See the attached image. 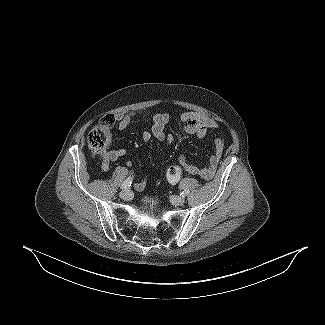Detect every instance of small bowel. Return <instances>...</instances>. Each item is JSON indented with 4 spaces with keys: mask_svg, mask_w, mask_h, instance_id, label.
<instances>
[{
    "mask_svg": "<svg viewBox=\"0 0 325 325\" xmlns=\"http://www.w3.org/2000/svg\"><path fill=\"white\" fill-rule=\"evenodd\" d=\"M149 118L152 121V125L149 130L143 133V140L148 141L152 137L166 144L167 147L171 146L174 142V136L165 132V126L169 121V116L165 113H152L149 110L139 109L132 110L126 113L117 114L114 116L116 121V127L118 130L126 129L133 120ZM181 120L184 123V130L188 134L194 135L198 140H204L208 132L216 127V123L212 120L203 118L195 113L186 112L181 115ZM224 151V141L222 138H217L214 141V153L209 159V163L205 167H198L188 162L186 156L182 155L179 158L182 168L192 176H198L203 179L210 180L214 177L218 168L220 159ZM126 154L125 149H104L100 153L101 168L107 171L110 168V164L120 157ZM132 163L128 162V166ZM147 179H142L136 184L137 190H143L146 186Z\"/></svg>",
    "mask_w": 325,
    "mask_h": 325,
    "instance_id": "small-bowel-1",
    "label": "small bowel"
}]
</instances>
